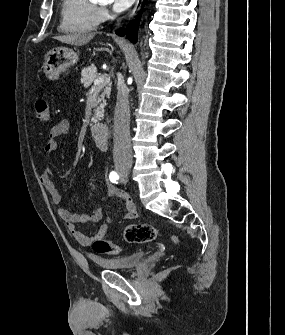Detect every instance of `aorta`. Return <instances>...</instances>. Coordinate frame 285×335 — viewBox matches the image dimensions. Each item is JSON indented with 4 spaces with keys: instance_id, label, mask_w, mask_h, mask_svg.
I'll use <instances>...</instances> for the list:
<instances>
[{
    "instance_id": "1",
    "label": "aorta",
    "mask_w": 285,
    "mask_h": 335,
    "mask_svg": "<svg viewBox=\"0 0 285 335\" xmlns=\"http://www.w3.org/2000/svg\"><path fill=\"white\" fill-rule=\"evenodd\" d=\"M90 2H92V0H90ZM104 133L105 134H110L111 133V128L110 127H105L104 128Z\"/></svg>"
}]
</instances>
